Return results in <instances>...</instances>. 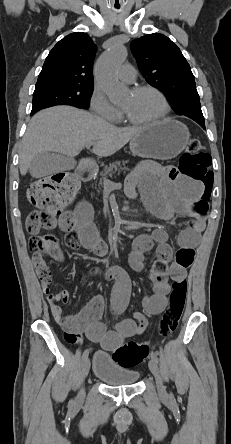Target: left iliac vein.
<instances>
[{"mask_svg": "<svg viewBox=\"0 0 231 444\" xmlns=\"http://www.w3.org/2000/svg\"><path fill=\"white\" fill-rule=\"evenodd\" d=\"M149 369L156 379L159 394L161 396H165L166 395V388L163 384V380H162V377H161V374H160V371L158 368V364H157L156 360L153 358H151L149 361Z\"/></svg>", "mask_w": 231, "mask_h": 444, "instance_id": "obj_1", "label": "left iliac vein"}]
</instances>
